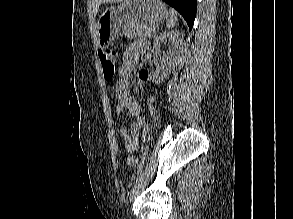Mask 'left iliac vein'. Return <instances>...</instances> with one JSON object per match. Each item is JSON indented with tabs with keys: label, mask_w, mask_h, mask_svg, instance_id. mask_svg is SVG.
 <instances>
[{
	"label": "left iliac vein",
	"mask_w": 293,
	"mask_h": 219,
	"mask_svg": "<svg viewBox=\"0 0 293 219\" xmlns=\"http://www.w3.org/2000/svg\"><path fill=\"white\" fill-rule=\"evenodd\" d=\"M141 180H142V177L137 179V181H136V183H135V185H134V187H133V189L131 191V194L129 196V202H131L135 198V196H136V194H137V192L139 190Z\"/></svg>",
	"instance_id": "1"
}]
</instances>
